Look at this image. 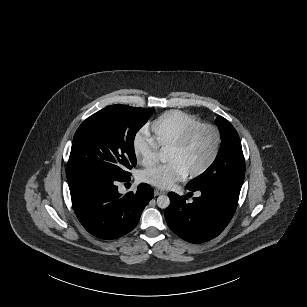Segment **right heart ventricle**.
Segmentation results:
<instances>
[{
	"mask_svg": "<svg viewBox=\"0 0 307 307\" xmlns=\"http://www.w3.org/2000/svg\"><path fill=\"white\" fill-rule=\"evenodd\" d=\"M201 123L191 115L174 110L163 113L154 123L152 134L146 135L158 148H165L197 129Z\"/></svg>",
	"mask_w": 307,
	"mask_h": 307,
	"instance_id": "1",
	"label": "right heart ventricle"
}]
</instances>
